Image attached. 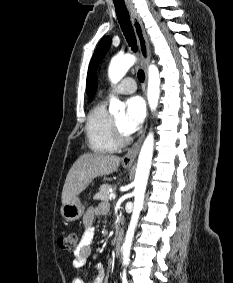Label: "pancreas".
I'll return each mask as SVG.
<instances>
[{
    "label": "pancreas",
    "mask_w": 233,
    "mask_h": 283,
    "mask_svg": "<svg viewBox=\"0 0 233 283\" xmlns=\"http://www.w3.org/2000/svg\"><path fill=\"white\" fill-rule=\"evenodd\" d=\"M112 187L113 185L108 183L101 185L98 192L95 194V198L101 201H108L110 195L109 189Z\"/></svg>",
    "instance_id": "obj_1"
}]
</instances>
